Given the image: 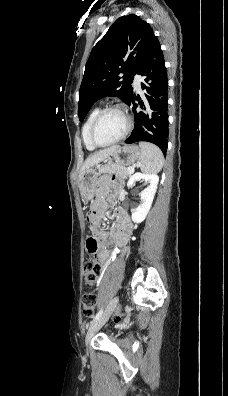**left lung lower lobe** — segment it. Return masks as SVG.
Listing matches in <instances>:
<instances>
[{"instance_id": "left-lung-lower-lobe-1", "label": "left lung lower lobe", "mask_w": 228, "mask_h": 396, "mask_svg": "<svg viewBox=\"0 0 228 396\" xmlns=\"http://www.w3.org/2000/svg\"><path fill=\"white\" fill-rule=\"evenodd\" d=\"M160 43L156 38L140 71L144 76L142 89L145 96L141 99L132 94L128 105L133 103L134 129L125 143L147 141L157 145L166 155L168 143V78ZM138 100V104L134 101Z\"/></svg>"}]
</instances>
